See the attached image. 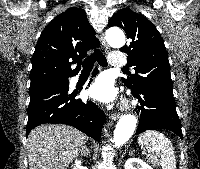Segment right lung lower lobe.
I'll return each instance as SVG.
<instances>
[{
	"mask_svg": "<svg viewBox=\"0 0 200 169\" xmlns=\"http://www.w3.org/2000/svg\"><path fill=\"white\" fill-rule=\"evenodd\" d=\"M98 70L93 72V76ZM26 135L44 123L71 125L99 141L105 114L92 102L75 99L69 92L68 78L50 81L42 85H31Z\"/></svg>",
	"mask_w": 200,
	"mask_h": 169,
	"instance_id": "right-lung-lower-lobe-1",
	"label": "right lung lower lobe"
}]
</instances>
